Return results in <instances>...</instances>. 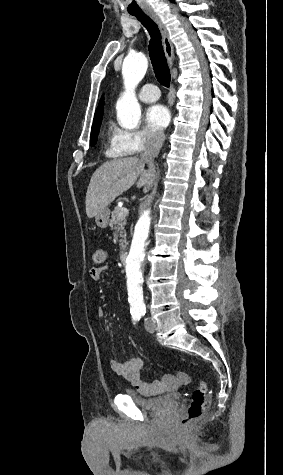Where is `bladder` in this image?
Listing matches in <instances>:
<instances>
[{
    "mask_svg": "<svg viewBox=\"0 0 283 475\" xmlns=\"http://www.w3.org/2000/svg\"><path fill=\"white\" fill-rule=\"evenodd\" d=\"M124 395L129 398L135 405L140 406L147 411H157L164 406H178L180 403V396H174L172 393L163 395V397H148L143 398L138 391L133 388H125Z\"/></svg>",
    "mask_w": 283,
    "mask_h": 475,
    "instance_id": "bladder-1",
    "label": "bladder"
}]
</instances>
